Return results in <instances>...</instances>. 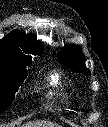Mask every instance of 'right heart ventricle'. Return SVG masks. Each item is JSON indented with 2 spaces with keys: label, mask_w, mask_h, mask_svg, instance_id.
Here are the masks:
<instances>
[{
  "label": "right heart ventricle",
  "mask_w": 108,
  "mask_h": 127,
  "mask_svg": "<svg viewBox=\"0 0 108 127\" xmlns=\"http://www.w3.org/2000/svg\"><path fill=\"white\" fill-rule=\"evenodd\" d=\"M48 86L54 94H57L59 96L67 95V90L65 89L63 79L57 72L52 73L49 76Z\"/></svg>",
  "instance_id": "obj_1"
}]
</instances>
